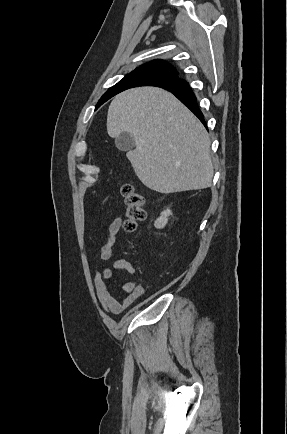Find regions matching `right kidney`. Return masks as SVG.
<instances>
[{
	"instance_id": "right-kidney-1",
	"label": "right kidney",
	"mask_w": 287,
	"mask_h": 434,
	"mask_svg": "<svg viewBox=\"0 0 287 434\" xmlns=\"http://www.w3.org/2000/svg\"><path fill=\"white\" fill-rule=\"evenodd\" d=\"M170 215H172V212L169 209L161 212L160 217L155 221L154 226L158 229L164 228L168 222V217Z\"/></svg>"
}]
</instances>
